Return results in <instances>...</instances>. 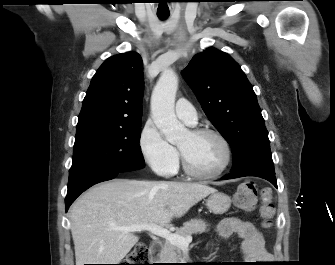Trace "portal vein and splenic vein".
<instances>
[{
	"instance_id": "obj_1",
	"label": "portal vein and splenic vein",
	"mask_w": 335,
	"mask_h": 265,
	"mask_svg": "<svg viewBox=\"0 0 335 265\" xmlns=\"http://www.w3.org/2000/svg\"><path fill=\"white\" fill-rule=\"evenodd\" d=\"M114 229L121 232L149 231L152 234L162 237L171 244L178 247H188V245L192 242L191 236L183 237L176 233L170 232L168 229L154 224H135L131 226L115 227Z\"/></svg>"
}]
</instances>
